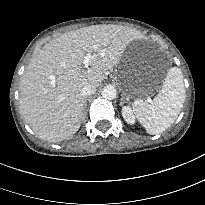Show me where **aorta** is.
<instances>
[{
	"instance_id": "aorta-1",
	"label": "aorta",
	"mask_w": 205,
	"mask_h": 205,
	"mask_svg": "<svg viewBox=\"0 0 205 205\" xmlns=\"http://www.w3.org/2000/svg\"><path fill=\"white\" fill-rule=\"evenodd\" d=\"M117 96V91L114 86H106L102 90V97L108 100H113Z\"/></svg>"
}]
</instances>
